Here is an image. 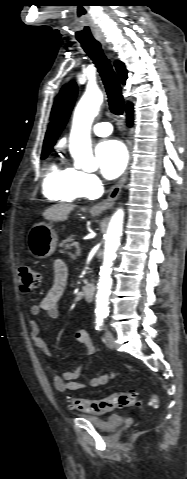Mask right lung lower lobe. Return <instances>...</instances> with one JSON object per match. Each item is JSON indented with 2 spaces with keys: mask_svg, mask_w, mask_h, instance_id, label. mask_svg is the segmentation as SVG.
Returning a JSON list of instances; mask_svg holds the SVG:
<instances>
[{
  "mask_svg": "<svg viewBox=\"0 0 187 479\" xmlns=\"http://www.w3.org/2000/svg\"><path fill=\"white\" fill-rule=\"evenodd\" d=\"M127 122L129 126L132 125V106L127 108Z\"/></svg>",
  "mask_w": 187,
  "mask_h": 479,
  "instance_id": "1",
  "label": "right lung lower lobe"
}]
</instances>
